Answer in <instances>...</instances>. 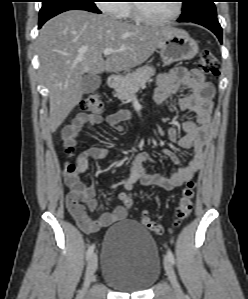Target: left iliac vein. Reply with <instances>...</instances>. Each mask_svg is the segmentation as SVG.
I'll list each match as a JSON object with an SVG mask.
<instances>
[{
  "label": "left iliac vein",
  "instance_id": "left-iliac-vein-1",
  "mask_svg": "<svg viewBox=\"0 0 248 299\" xmlns=\"http://www.w3.org/2000/svg\"><path fill=\"white\" fill-rule=\"evenodd\" d=\"M164 267H165V271L167 273V276H168V279L173 287V290L174 292L177 294V295H181L182 294V290L180 288V285L177 281V278H176V274H175V271L173 269V266L170 262V260L168 259V257L166 256L164 258Z\"/></svg>",
  "mask_w": 248,
  "mask_h": 299
}]
</instances>
